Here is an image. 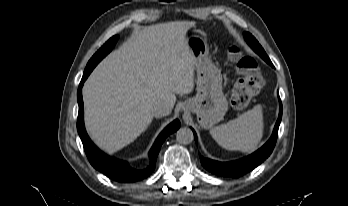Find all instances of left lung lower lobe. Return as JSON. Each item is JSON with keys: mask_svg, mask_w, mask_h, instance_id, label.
Masks as SVG:
<instances>
[{"mask_svg": "<svg viewBox=\"0 0 348 206\" xmlns=\"http://www.w3.org/2000/svg\"><path fill=\"white\" fill-rule=\"evenodd\" d=\"M281 117H282V104L280 102L279 117L276 122L271 138L267 141V143L263 147H261L259 150H257L253 154L237 161L225 162V163L217 162L210 159H205L202 156H200L201 164L203 165L205 169H207L208 171L214 174H217L220 176H228V177H240L246 174L247 172L253 170L258 165H260L273 151V148L277 140L278 128L281 122ZM194 138L197 143V136L195 132H194Z\"/></svg>", "mask_w": 348, "mask_h": 206, "instance_id": "obj_1", "label": "left lung lower lobe"}]
</instances>
